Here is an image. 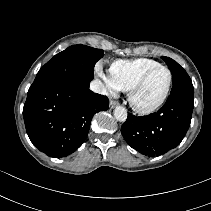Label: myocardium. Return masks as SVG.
<instances>
[{
  "instance_id": "myocardium-1",
  "label": "myocardium",
  "mask_w": 211,
  "mask_h": 211,
  "mask_svg": "<svg viewBox=\"0 0 211 211\" xmlns=\"http://www.w3.org/2000/svg\"><path fill=\"white\" fill-rule=\"evenodd\" d=\"M158 69H164L168 73V83H167L166 89H165L162 97L156 103H154L153 105H150V106H141L137 103L136 96H137L138 92L140 91V89L145 84L147 78L154 71H156ZM172 82H173V75H172L171 70L168 67H166L164 65H157V66H154V67L148 69L140 76V78L135 82V84L129 90L128 99H129V103H130L131 107L137 113L142 114V115H149V114H152V113L158 111L164 105V103L166 102V100L170 94Z\"/></svg>"
}]
</instances>
